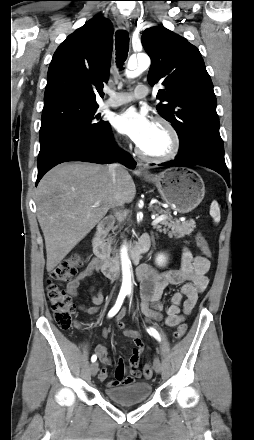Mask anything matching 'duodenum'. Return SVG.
<instances>
[{
  "label": "duodenum",
  "instance_id": "obj_1",
  "mask_svg": "<svg viewBox=\"0 0 254 440\" xmlns=\"http://www.w3.org/2000/svg\"><path fill=\"white\" fill-rule=\"evenodd\" d=\"M115 222L116 220L113 216H109L101 221L98 224L96 232L92 238L93 252L100 262V268L103 274L108 278L116 277L120 270L119 262L109 257V250L104 241V235L110 231ZM150 245V236H142V238H140V240L131 249L129 256L131 263H138L144 253L149 249Z\"/></svg>",
  "mask_w": 254,
  "mask_h": 440
}]
</instances>
